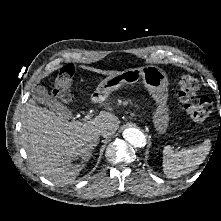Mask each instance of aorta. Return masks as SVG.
Segmentation results:
<instances>
[{
    "label": "aorta",
    "instance_id": "762f6f07",
    "mask_svg": "<svg viewBox=\"0 0 221 221\" xmlns=\"http://www.w3.org/2000/svg\"><path fill=\"white\" fill-rule=\"evenodd\" d=\"M123 138L134 147L142 148L146 145L144 134L136 128H126L123 131Z\"/></svg>",
    "mask_w": 221,
    "mask_h": 221
}]
</instances>
